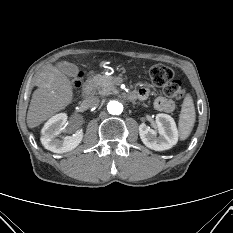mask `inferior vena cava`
Returning a JSON list of instances; mask_svg holds the SVG:
<instances>
[{"mask_svg":"<svg viewBox=\"0 0 233 233\" xmlns=\"http://www.w3.org/2000/svg\"><path fill=\"white\" fill-rule=\"evenodd\" d=\"M99 98L96 97V96H88L85 98L84 100V104L87 106V107H96L99 105Z\"/></svg>","mask_w":233,"mask_h":233,"instance_id":"602c4592","label":"inferior vena cava"}]
</instances>
